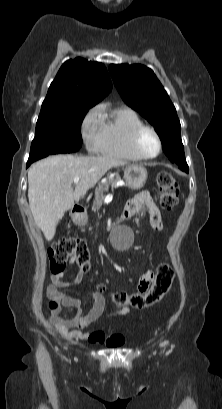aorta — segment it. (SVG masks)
Listing matches in <instances>:
<instances>
[{"mask_svg":"<svg viewBox=\"0 0 222 409\" xmlns=\"http://www.w3.org/2000/svg\"><path fill=\"white\" fill-rule=\"evenodd\" d=\"M119 234H120L121 237L127 238V236H128V231H127L126 229H121V230H119ZM128 246H129V243H128V242H123V243L120 244V247H121V248H126V247H128Z\"/></svg>","mask_w":222,"mask_h":409,"instance_id":"762f6f07","label":"aorta"}]
</instances>
